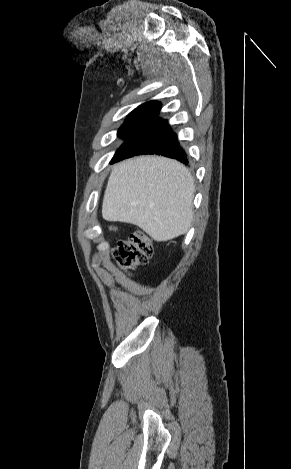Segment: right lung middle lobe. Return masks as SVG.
I'll list each match as a JSON object with an SVG mask.
<instances>
[{"instance_id":"dd1d6c3e","label":"right lung middle lobe","mask_w":291,"mask_h":469,"mask_svg":"<svg viewBox=\"0 0 291 469\" xmlns=\"http://www.w3.org/2000/svg\"><path fill=\"white\" fill-rule=\"evenodd\" d=\"M152 118L153 117L150 115L130 113L125 123L120 127L118 136L124 138L125 140L128 139Z\"/></svg>"}]
</instances>
